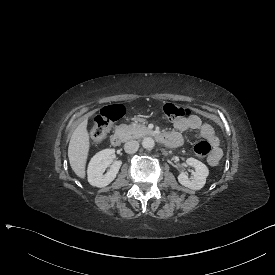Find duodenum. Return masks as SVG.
<instances>
[{"label": "duodenum", "mask_w": 275, "mask_h": 275, "mask_svg": "<svg viewBox=\"0 0 275 275\" xmlns=\"http://www.w3.org/2000/svg\"><path fill=\"white\" fill-rule=\"evenodd\" d=\"M155 137L159 142L166 144L168 146H176L179 144V140L172 134L155 133ZM123 140H124V135L120 131L113 133L112 136L110 137V142L115 147L120 146Z\"/></svg>", "instance_id": "1"}]
</instances>
